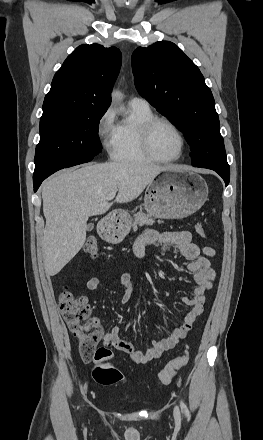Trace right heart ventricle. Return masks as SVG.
Returning <instances> with one entry per match:
<instances>
[{
    "label": "right heart ventricle",
    "instance_id": "e07e8e85",
    "mask_svg": "<svg viewBox=\"0 0 263 440\" xmlns=\"http://www.w3.org/2000/svg\"><path fill=\"white\" fill-rule=\"evenodd\" d=\"M130 106L131 117L117 125V138L111 155L120 162L149 161L140 148L138 130L142 122L155 115L150 107Z\"/></svg>",
    "mask_w": 263,
    "mask_h": 440
}]
</instances>
